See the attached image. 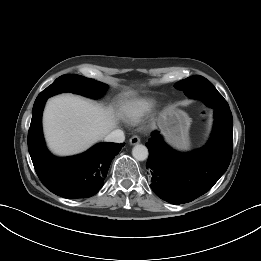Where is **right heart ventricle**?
<instances>
[{"label": "right heart ventricle", "instance_id": "e07e8e85", "mask_svg": "<svg viewBox=\"0 0 261 261\" xmlns=\"http://www.w3.org/2000/svg\"><path fill=\"white\" fill-rule=\"evenodd\" d=\"M154 102L150 99H141L130 103L124 109V117L128 122L136 123L152 111Z\"/></svg>", "mask_w": 261, "mask_h": 261}]
</instances>
